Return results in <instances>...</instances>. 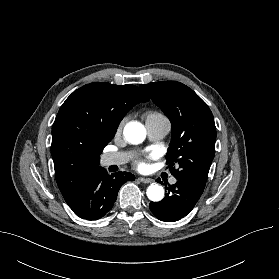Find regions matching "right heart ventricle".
Returning <instances> with one entry per match:
<instances>
[{
	"instance_id": "obj_1",
	"label": "right heart ventricle",
	"mask_w": 279,
	"mask_h": 279,
	"mask_svg": "<svg viewBox=\"0 0 279 279\" xmlns=\"http://www.w3.org/2000/svg\"><path fill=\"white\" fill-rule=\"evenodd\" d=\"M144 117H145V121L146 122L156 121V120H161V119H165L166 118L163 114H161L159 112H156V111L146 112Z\"/></svg>"
}]
</instances>
